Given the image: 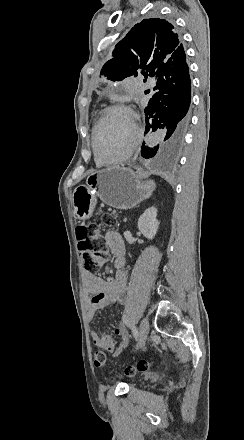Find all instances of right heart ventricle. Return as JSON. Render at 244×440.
Masks as SVG:
<instances>
[{
	"label": "right heart ventricle",
	"instance_id": "e07e8e85",
	"mask_svg": "<svg viewBox=\"0 0 244 440\" xmlns=\"http://www.w3.org/2000/svg\"><path fill=\"white\" fill-rule=\"evenodd\" d=\"M99 122H101V121H99ZM96 132H97V123L94 125V127H93V129H92V133H91V144H92L93 147H94L93 138H95V133H96ZM100 134H101V133H100ZM96 163H97V165H98L99 167H104V166H106V163H104V162L98 160L97 158H96Z\"/></svg>",
	"mask_w": 244,
	"mask_h": 440
}]
</instances>
